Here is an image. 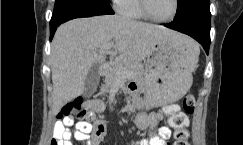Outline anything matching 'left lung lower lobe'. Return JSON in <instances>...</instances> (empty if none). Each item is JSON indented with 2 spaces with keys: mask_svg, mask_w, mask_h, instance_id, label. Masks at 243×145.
Returning a JSON list of instances; mask_svg holds the SVG:
<instances>
[{
  "mask_svg": "<svg viewBox=\"0 0 243 145\" xmlns=\"http://www.w3.org/2000/svg\"><path fill=\"white\" fill-rule=\"evenodd\" d=\"M164 26L190 35L203 46L206 53L208 54L210 46V35L205 34L203 31L190 24L189 21H186L185 18L180 16L178 13H176L175 18L171 23L165 24Z\"/></svg>",
  "mask_w": 243,
  "mask_h": 145,
  "instance_id": "1",
  "label": "left lung lower lobe"
}]
</instances>
